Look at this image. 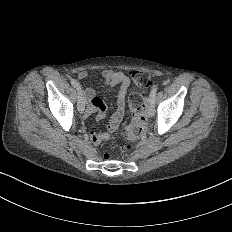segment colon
<instances>
[{"instance_id":"obj_1","label":"colon","mask_w":232,"mask_h":232,"mask_svg":"<svg viewBox=\"0 0 232 232\" xmlns=\"http://www.w3.org/2000/svg\"><path fill=\"white\" fill-rule=\"evenodd\" d=\"M154 71H135L131 78L138 86L145 88L152 86V81H149V76H154ZM129 102L133 107V118L131 125L126 129V137L130 141H137L143 136L147 127L148 106L139 95L132 93L128 97Z\"/></svg>"}]
</instances>
